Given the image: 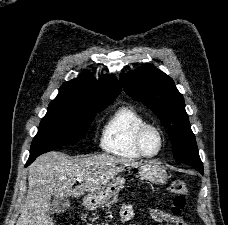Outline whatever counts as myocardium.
<instances>
[{
  "mask_svg": "<svg viewBox=\"0 0 228 225\" xmlns=\"http://www.w3.org/2000/svg\"><path fill=\"white\" fill-rule=\"evenodd\" d=\"M151 131L155 132L159 137V148L155 153H149L146 149V144H145L146 137H147L148 133ZM136 145H137V148L139 149V151L145 157H148V158L156 157L162 152L164 145H165L164 132L157 125L147 123L138 130L137 135H136Z\"/></svg>",
  "mask_w": 228,
  "mask_h": 225,
  "instance_id": "1",
  "label": "myocardium"
}]
</instances>
